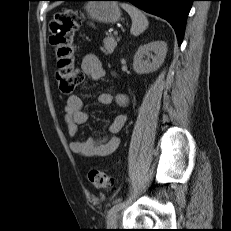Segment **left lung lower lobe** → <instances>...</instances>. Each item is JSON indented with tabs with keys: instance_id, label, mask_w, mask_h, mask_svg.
<instances>
[{
	"instance_id": "obj_1",
	"label": "left lung lower lobe",
	"mask_w": 231,
	"mask_h": 231,
	"mask_svg": "<svg viewBox=\"0 0 231 231\" xmlns=\"http://www.w3.org/2000/svg\"><path fill=\"white\" fill-rule=\"evenodd\" d=\"M57 1V0H51ZM128 1L150 14L167 20L175 30L178 44L183 41L188 13L194 0H115Z\"/></svg>"
}]
</instances>
